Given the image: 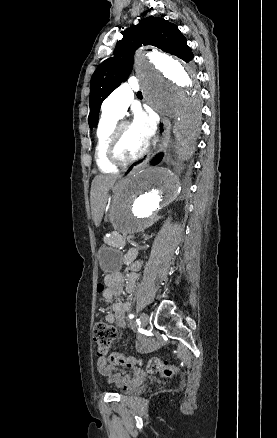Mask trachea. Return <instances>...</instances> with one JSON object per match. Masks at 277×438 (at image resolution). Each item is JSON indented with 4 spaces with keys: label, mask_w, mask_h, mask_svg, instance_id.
I'll return each mask as SVG.
<instances>
[{
    "label": "trachea",
    "mask_w": 277,
    "mask_h": 438,
    "mask_svg": "<svg viewBox=\"0 0 277 438\" xmlns=\"http://www.w3.org/2000/svg\"><path fill=\"white\" fill-rule=\"evenodd\" d=\"M138 95H141V92H138Z\"/></svg>",
    "instance_id": "obj_1"
}]
</instances>
